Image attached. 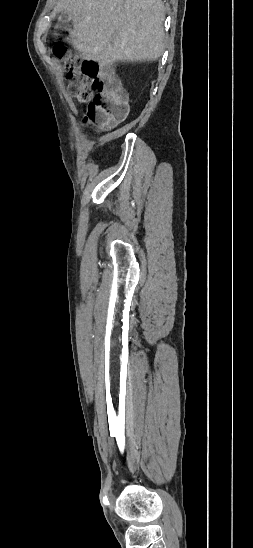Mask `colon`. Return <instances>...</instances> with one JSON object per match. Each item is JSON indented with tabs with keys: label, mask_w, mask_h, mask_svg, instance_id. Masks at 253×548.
<instances>
[{
	"label": "colon",
	"mask_w": 253,
	"mask_h": 548,
	"mask_svg": "<svg viewBox=\"0 0 253 548\" xmlns=\"http://www.w3.org/2000/svg\"><path fill=\"white\" fill-rule=\"evenodd\" d=\"M53 54L68 71V93L80 102H89L85 122L106 129L126 117V92L109 69L101 71L95 61L74 56L63 45L55 46Z\"/></svg>",
	"instance_id": "1"
}]
</instances>
